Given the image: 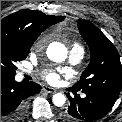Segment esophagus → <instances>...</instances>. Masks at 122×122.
<instances>
[{
    "instance_id": "esophagus-1",
    "label": "esophagus",
    "mask_w": 122,
    "mask_h": 122,
    "mask_svg": "<svg viewBox=\"0 0 122 122\" xmlns=\"http://www.w3.org/2000/svg\"><path fill=\"white\" fill-rule=\"evenodd\" d=\"M43 91H45V92H47V93H51V94L57 92L56 89H54V88H52V87H49V86H44V87H43Z\"/></svg>"
}]
</instances>
